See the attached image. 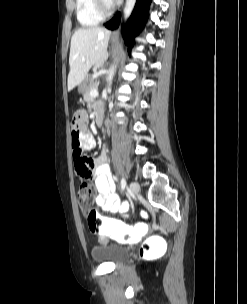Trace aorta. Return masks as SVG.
Here are the masks:
<instances>
[{
	"instance_id": "1",
	"label": "aorta",
	"mask_w": 247,
	"mask_h": 304,
	"mask_svg": "<svg viewBox=\"0 0 247 304\" xmlns=\"http://www.w3.org/2000/svg\"><path fill=\"white\" fill-rule=\"evenodd\" d=\"M136 0H126L125 7H124V20L126 21L135 6ZM115 72V67L112 66L108 71L107 82H108V91L110 90V86L112 84L113 76Z\"/></svg>"
}]
</instances>
